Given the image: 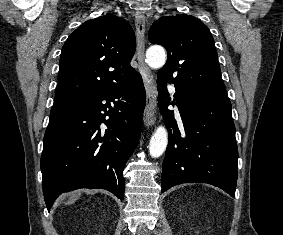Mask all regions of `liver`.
<instances>
[{
	"instance_id": "obj_1",
	"label": "liver",
	"mask_w": 283,
	"mask_h": 235,
	"mask_svg": "<svg viewBox=\"0 0 283 235\" xmlns=\"http://www.w3.org/2000/svg\"><path fill=\"white\" fill-rule=\"evenodd\" d=\"M80 196V192L77 191V192H73L71 195H70V198L69 200L67 201V204H73Z\"/></svg>"
}]
</instances>
